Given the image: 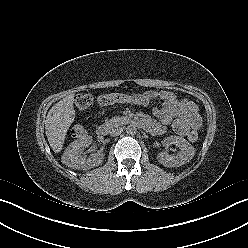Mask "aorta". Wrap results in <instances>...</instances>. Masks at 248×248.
<instances>
[{"label":"aorta","mask_w":248,"mask_h":248,"mask_svg":"<svg viewBox=\"0 0 248 248\" xmlns=\"http://www.w3.org/2000/svg\"><path fill=\"white\" fill-rule=\"evenodd\" d=\"M126 133L128 135H135L137 133V128L134 124H130L126 127Z\"/></svg>","instance_id":"1"}]
</instances>
